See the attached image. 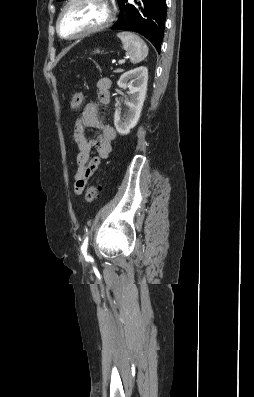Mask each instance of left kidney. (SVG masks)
Here are the masks:
<instances>
[{
	"mask_svg": "<svg viewBox=\"0 0 254 397\" xmlns=\"http://www.w3.org/2000/svg\"><path fill=\"white\" fill-rule=\"evenodd\" d=\"M147 82L148 69L144 66L125 72L118 80L117 85L120 88L129 87L130 90V99L126 102L127 114L122 118L119 108L114 114V125L120 135L129 134L136 126L146 97Z\"/></svg>",
	"mask_w": 254,
	"mask_h": 397,
	"instance_id": "5707ae66",
	"label": "left kidney"
}]
</instances>
